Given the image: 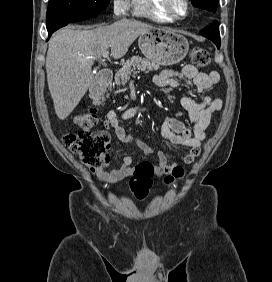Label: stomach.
<instances>
[{"label":"stomach","mask_w":272,"mask_h":282,"mask_svg":"<svg viewBox=\"0 0 272 282\" xmlns=\"http://www.w3.org/2000/svg\"><path fill=\"white\" fill-rule=\"evenodd\" d=\"M138 45L149 60L164 66L179 63L189 51L188 40L167 28H152L141 34Z\"/></svg>","instance_id":"obj_1"}]
</instances>
